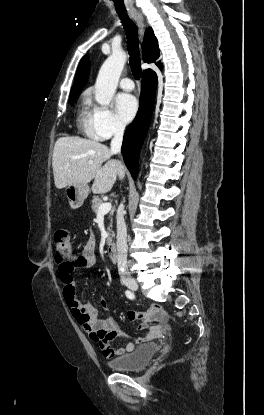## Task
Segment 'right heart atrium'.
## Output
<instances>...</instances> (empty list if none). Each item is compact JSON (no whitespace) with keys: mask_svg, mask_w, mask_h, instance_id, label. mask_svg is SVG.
<instances>
[{"mask_svg":"<svg viewBox=\"0 0 264 415\" xmlns=\"http://www.w3.org/2000/svg\"><path fill=\"white\" fill-rule=\"evenodd\" d=\"M93 123L96 132L102 139L120 134L124 130V124L107 107L95 106L93 108Z\"/></svg>","mask_w":264,"mask_h":415,"instance_id":"obj_1","label":"right heart atrium"}]
</instances>
